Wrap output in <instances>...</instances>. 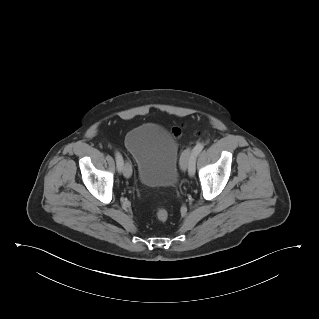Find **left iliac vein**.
<instances>
[{"instance_id": "left-iliac-vein-1", "label": "left iliac vein", "mask_w": 319, "mask_h": 319, "mask_svg": "<svg viewBox=\"0 0 319 319\" xmlns=\"http://www.w3.org/2000/svg\"><path fill=\"white\" fill-rule=\"evenodd\" d=\"M193 150H191L190 148L186 149L184 151V153L182 154L181 160H180V165H181V169L183 171L187 170L188 167V163H189V159L192 155Z\"/></svg>"}]
</instances>
